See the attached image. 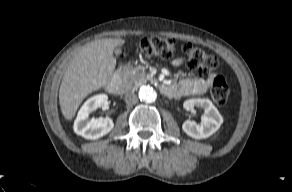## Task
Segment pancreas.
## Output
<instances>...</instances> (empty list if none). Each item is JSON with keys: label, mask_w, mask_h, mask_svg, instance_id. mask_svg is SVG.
<instances>
[{"label": "pancreas", "mask_w": 292, "mask_h": 192, "mask_svg": "<svg viewBox=\"0 0 292 192\" xmlns=\"http://www.w3.org/2000/svg\"><path fill=\"white\" fill-rule=\"evenodd\" d=\"M128 79L134 85H141L146 83L147 81H152L153 77L149 74L146 75L144 68L135 69L128 75Z\"/></svg>", "instance_id": "pancreas-1"}]
</instances>
